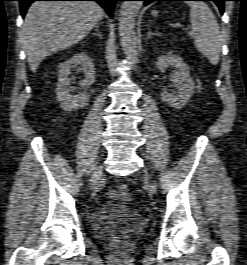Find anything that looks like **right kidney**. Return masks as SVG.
Here are the masks:
<instances>
[{"label": "right kidney", "mask_w": 247, "mask_h": 265, "mask_svg": "<svg viewBox=\"0 0 247 265\" xmlns=\"http://www.w3.org/2000/svg\"><path fill=\"white\" fill-rule=\"evenodd\" d=\"M80 66V70L84 72L85 78L80 85L84 91L71 94V79L68 77L70 70ZM59 80L56 87V98L60 106L64 110H75L83 108L90 100L87 88L95 81V68L92 59L86 53H77L64 63L59 64Z\"/></svg>", "instance_id": "ca27d5eb"}]
</instances>
